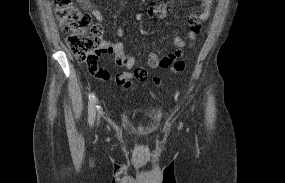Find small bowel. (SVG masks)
I'll return each mask as SVG.
<instances>
[{
    "label": "small bowel",
    "instance_id": "1",
    "mask_svg": "<svg viewBox=\"0 0 285 183\" xmlns=\"http://www.w3.org/2000/svg\"><path fill=\"white\" fill-rule=\"evenodd\" d=\"M81 7L88 11L98 22L103 21V15L101 11L94 6L91 0H77ZM201 4V12L199 14H192L189 16V30L188 39L189 42L182 36H176L174 38L175 49L166 54L163 57H159L155 53H151L147 59V66L150 69L156 70L160 68H168L173 65L178 59L182 58L184 55V50L194 46L198 36L200 35L201 24L205 22L211 14V9L213 6V0H199ZM167 6L165 3L154 4L147 12L149 18H163L166 16ZM118 36H122L124 31L122 27H119L116 31ZM144 48L147 45H143ZM107 53L115 57V61L118 65L126 68L132 69L135 66V57L125 51V44L123 42H110L103 41L102 49L100 54ZM99 54V55H100ZM86 70L95 79L99 81H114L119 87L124 90H128L133 85V79H136V72L143 75L140 82L146 81L148 77V71L145 67H137L134 72L123 71L115 75H112L108 70L100 68L97 66V58L87 62Z\"/></svg>",
    "mask_w": 285,
    "mask_h": 183
}]
</instances>
